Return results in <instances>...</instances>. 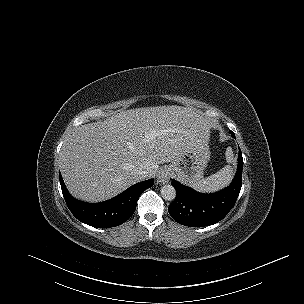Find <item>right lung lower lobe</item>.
Listing matches in <instances>:
<instances>
[{
	"mask_svg": "<svg viewBox=\"0 0 304 304\" xmlns=\"http://www.w3.org/2000/svg\"><path fill=\"white\" fill-rule=\"evenodd\" d=\"M60 184L69 210L79 221L97 228H110L124 223L133 215L139 196L154 185V180L137 183L118 196L100 203H85L74 199L61 176Z\"/></svg>",
	"mask_w": 304,
	"mask_h": 304,
	"instance_id": "1",
	"label": "right lung lower lobe"
}]
</instances>
